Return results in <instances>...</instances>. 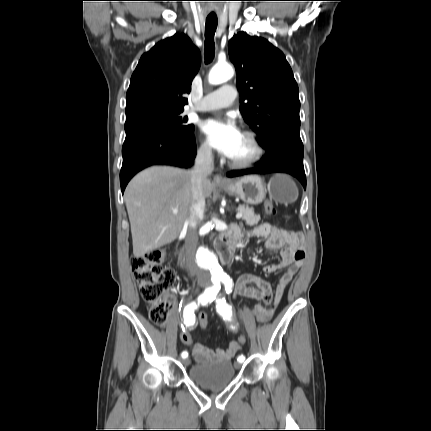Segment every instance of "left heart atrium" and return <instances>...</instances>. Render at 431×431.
<instances>
[{
  "label": "left heart atrium",
  "mask_w": 431,
  "mask_h": 431,
  "mask_svg": "<svg viewBox=\"0 0 431 431\" xmlns=\"http://www.w3.org/2000/svg\"><path fill=\"white\" fill-rule=\"evenodd\" d=\"M201 131L214 149L229 158L242 137V133L233 121L217 118L203 121Z\"/></svg>",
  "instance_id": "1"
}]
</instances>
